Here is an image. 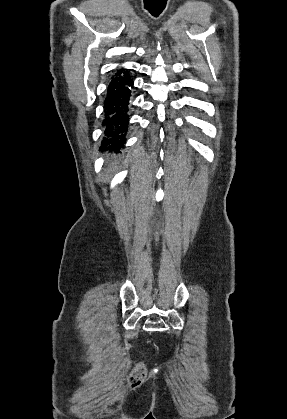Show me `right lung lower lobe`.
<instances>
[{
	"instance_id": "98d812e1",
	"label": "right lung lower lobe",
	"mask_w": 287,
	"mask_h": 419,
	"mask_svg": "<svg viewBox=\"0 0 287 419\" xmlns=\"http://www.w3.org/2000/svg\"><path fill=\"white\" fill-rule=\"evenodd\" d=\"M133 81L128 72H117L110 80L104 101V149L119 150L124 148L125 135L129 124V104Z\"/></svg>"
}]
</instances>
